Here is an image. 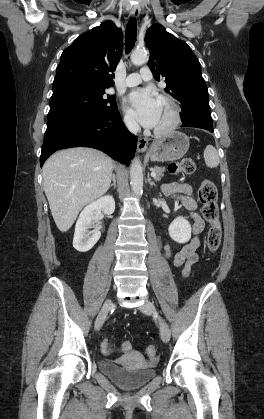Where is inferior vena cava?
<instances>
[{"mask_svg":"<svg viewBox=\"0 0 264 419\" xmlns=\"http://www.w3.org/2000/svg\"><path fill=\"white\" fill-rule=\"evenodd\" d=\"M125 125L129 129V131L132 132L133 134H137V132L140 131L139 124L131 118L125 119Z\"/></svg>","mask_w":264,"mask_h":419,"instance_id":"1","label":"inferior vena cava"}]
</instances>
